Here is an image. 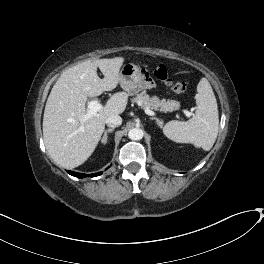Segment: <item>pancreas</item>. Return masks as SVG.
<instances>
[{
    "instance_id": "pancreas-1",
    "label": "pancreas",
    "mask_w": 264,
    "mask_h": 264,
    "mask_svg": "<svg viewBox=\"0 0 264 264\" xmlns=\"http://www.w3.org/2000/svg\"><path fill=\"white\" fill-rule=\"evenodd\" d=\"M132 102L139 104L143 109L160 110L171 112L180 107V103L175 100L159 99L156 96H149L145 91L137 94Z\"/></svg>"
}]
</instances>
